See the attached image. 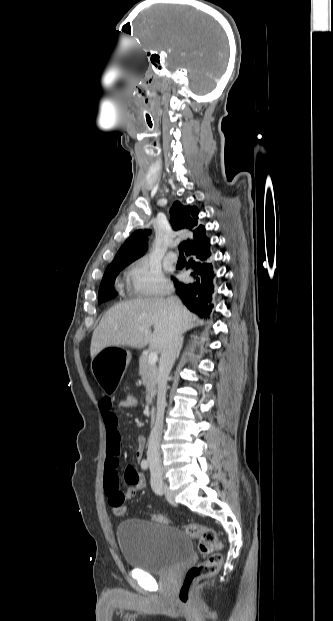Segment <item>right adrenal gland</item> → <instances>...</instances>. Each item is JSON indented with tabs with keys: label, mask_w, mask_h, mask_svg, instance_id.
Returning a JSON list of instances; mask_svg holds the SVG:
<instances>
[{
	"label": "right adrenal gland",
	"mask_w": 333,
	"mask_h": 621,
	"mask_svg": "<svg viewBox=\"0 0 333 621\" xmlns=\"http://www.w3.org/2000/svg\"><path fill=\"white\" fill-rule=\"evenodd\" d=\"M182 346H183V338L181 339V342H180V346H179V349H178V352H177V358H179V356H180V351L182 349Z\"/></svg>",
	"instance_id": "right-adrenal-gland-1"
}]
</instances>
